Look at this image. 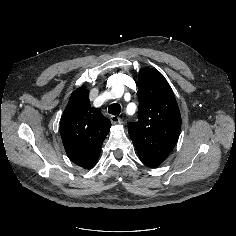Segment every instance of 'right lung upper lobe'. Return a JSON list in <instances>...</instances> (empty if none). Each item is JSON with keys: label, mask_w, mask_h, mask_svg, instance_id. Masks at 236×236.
<instances>
[{"label": "right lung upper lobe", "mask_w": 236, "mask_h": 236, "mask_svg": "<svg viewBox=\"0 0 236 236\" xmlns=\"http://www.w3.org/2000/svg\"><path fill=\"white\" fill-rule=\"evenodd\" d=\"M110 127V120L99 109L91 107L89 91L84 87L75 90L60 123V134L68 157L85 169L92 168Z\"/></svg>", "instance_id": "obj_1"}]
</instances>
